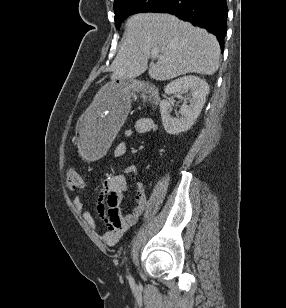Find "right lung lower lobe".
Segmentation results:
<instances>
[{
	"instance_id": "obj_1",
	"label": "right lung lower lobe",
	"mask_w": 286,
	"mask_h": 308,
	"mask_svg": "<svg viewBox=\"0 0 286 308\" xmlns=\"http://www.w3.org/2000/svg\"><path fill=\"white\" fill-rule=\"evenodd\" d=\"M152 12L170 13L209 30L217 37L221 50H224L228 15L226 0H168Z\"/></svg>"
}]
</instances>
